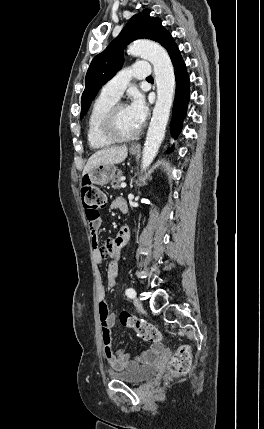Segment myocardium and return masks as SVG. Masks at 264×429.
Instances as JSON below:
<instances>
[{
    "label": "myocardium",
    "mask_w": 264,
    "mask_h": 429,
    "mask_svg": "<svg viewBox=\"0 0 264 429\" xmlns=\"http://www.w3.org/2000/svg\"><path fill=\"white\" fill-rule=\"evenodd\" d=\"M122 107H126L123 102L114 103L109 108L102 121L101 131L103 135L113 142H128L135 140L139 137L142 131V128L139 127L138 130L132 135L124 136L119 133L116 125V118L119 109H121Z\"/></svg>",
    "instance_id": "1"
}]
</instances>
